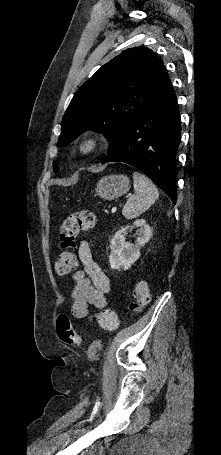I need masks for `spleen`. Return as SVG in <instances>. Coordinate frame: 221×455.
<instances>
[{
  "label": "spleen",
  "mask_w": 221,
  "mask_h": 455,
  "mask_svg": "<svg viewBox=\"0 0 221 455\" xmlns=\"http://www.w3.org/2000/svg\"><path fill=\"white\" fill-rule=\"evenodd\" d=\"M133 181L135 194L128 198L122 209V214L126 219H134L140 216L149 209L159 196L156 186L145 175L134 172Z\"/></svg>",
  "instance_id": "obj_1"
}]
</instances>
